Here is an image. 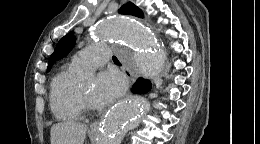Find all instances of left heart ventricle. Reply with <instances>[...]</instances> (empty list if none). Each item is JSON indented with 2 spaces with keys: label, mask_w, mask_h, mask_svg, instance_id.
I'll list each match as a JSON object with an SVG mask.
<instances>
[{
  "label": "left heart ventricle",
  "mask_w": 260,
  "mask_h": 144,
  "mask_svg": "<svg viewBox=\"0 0 260 144\" xmlns=\"http://www.w3.org/2000/svg\"><path fill=\"white\" fill-rule=\"evenodd\" d=\"M83 92L85 95L93 102V91H94V84H88L82 87Z\"/></svg>",
  "instance_id": "1"
}]
</instances>
